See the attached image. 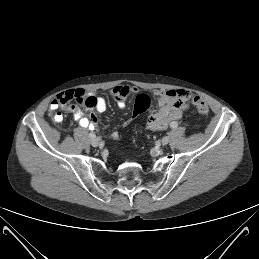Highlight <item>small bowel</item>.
I'll use <instances>...</instances> for the list:
<instances>
[{
	"label": "small bowel",
	"mask_w": 259,
	"mask_h": 259,
	"mask_svg": "<svg viewBox=\"0 0 259 259\" xmlns=\"http://www.w3.org/2000/svg\"><path fill=\"white\" fill-rule=\"evenodd\" d=\"M137 92V88L129 85H117L112 90V97L120 108L126 105V98L129 94ZM158 97V108L152 110L147 118L146 127L149 130H165L169 124L182 118L188 109L187 101L191 93L184 89H172L167 91H155ZM75 99L78 105H69L65 109L73 114L74 120L83 128L95 129L98 124L97 116L94 112L103 113L107 109V102L102 97H96L92 93H86L83 89H75L61 93L51 103V107L66 106ZM84 106L91 111L89 117L84 116ZM117 132L112 133L113 138H117Z\"/></svg>",
	"instance_id": "1"
}]
</instances>
